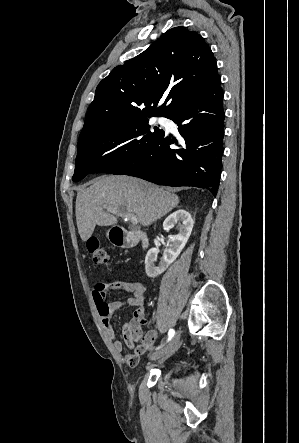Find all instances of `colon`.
Wrapping results in <instances>:
<instances>
[{"label":"colon","instance_id":"5ec220e1","mask_svg":"<svg viewBox=\"0 0 299 443\" xmlns=\"http://www.w3.org/2000/svg\"><path fill=\"white\" fill-rule=\"evenodd\" d=\"M86 245H87V250L94 263L100 265L109 264L110 262L109 256L97 238L95 237L89 238Z\"/></svg>","mask_w":299,"mask_h":443}]
</instances>
